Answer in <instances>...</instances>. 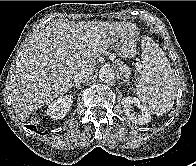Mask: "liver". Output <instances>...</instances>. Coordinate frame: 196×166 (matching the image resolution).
Segmentation results:
<instances>
[{
	"mask_svg": "<svg viewBox=\"0 0 196 166\" xmlns=\"http://www.w3.org/2000/svg\"><path fill=\"white\" fill-rule=\"evenodd\" d=\"M136 29L129 22L57 21L39 31L15 75L12 99L16 115L25 121L35 110L66 93L76 72L93 71L96 58ZM77 52L80 57L76 59Z\"/></svg>",
	"mask_w": 196,
	"mask_h": 166,
	"instance_id": "1",
	"label": "liver"
}]
</instances>
